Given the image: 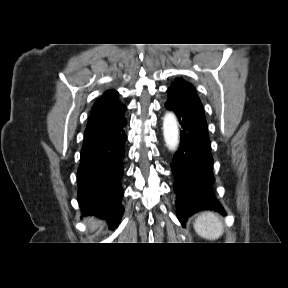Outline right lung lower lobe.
I'll list each match as a JSON object with an SVG mask.
<instances>
[{
    "instance_id": "right-lung-lower-lobe-1",
    "label": "right lung lower lobe",
    "mask_w": 288,
    "mask_h": 288,
    "mask_svg": "<svg viewBox=\"0 0 288 288\" xmlns=\"http://www.w3.org/2000/svg\"><path fill=\"white\" fill-rule=\"evenodd\" d=\"M110 139L83 147L78 168L77 200L85 216L94 215L118 227L124 212L122 206L125 156L124 126Z\"/></svg>"
}]
</instances>
